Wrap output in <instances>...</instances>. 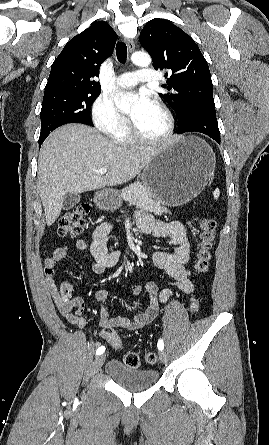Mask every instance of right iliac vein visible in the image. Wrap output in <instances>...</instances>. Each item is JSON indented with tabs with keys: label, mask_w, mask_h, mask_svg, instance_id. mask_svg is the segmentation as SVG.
Here are the masks:
<instances>
[{
	"label": "right iliac vein",
	"mask_w": 269,
	"mask_h": 445,
	"mask_svg": "<svg viewBox=\"0 0 269 445\" xmlns=\"http://www.w3.org/2000/svg\"><path fill=\"white\" fill-rule=\"evenodd\" d=\"M105 357H106L105 355H100L95 359V361L93 363V369H92L93 373H96L99 371V369L102 367V365L105 361Z\"/></svg>",
	"instance_id": "1"
}]
</instances>
